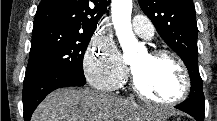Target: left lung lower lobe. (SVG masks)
<instances>
[{"label":"left lung lower lobe","mask_w":217,"mask_h":121,"mask_svg":"<svg viewBox=\"0 0 217 121\" xmlns=\"http://www.w3.org/2000/svg\"><path fill=\"white\" fill-rule=\"evenodd\" d=\"M177 109L184 111L194 117L197 121L204 120V114L200 113L193 99L189 98L181 104L175 106Z\"/></svg>","instance_id":"obj_1"}]
</instances>
